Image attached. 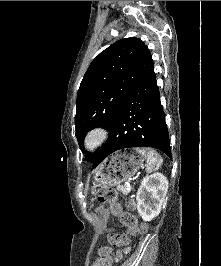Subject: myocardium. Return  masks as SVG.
Returning <instances> with one entry per match:
<instances>
[{"instance_id": "f54148a6", "label": "myocardium", "mask_w": 221, "mask_h": 266, "mask_svg": "<svg viewBox=\"0 0 221 266\" xmlns=\"http://www.w3.org/2000/svg\"><path fill=\"white\" fill-rule=\"evenodd\" d=\"M108 131L105 128L97 127L89 131L84 139V149L87 152H94L97 150L106 140Z\"/></svg>"}]
</instances>
